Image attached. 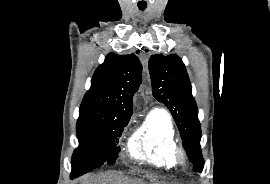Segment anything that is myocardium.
Segmentation results:
<instances>
[{"mask_svg":"<svg viewBox=\"0 0 270 184\" xmlns=\"http://www.w3.org/2000/svg\"><path fill=\"white\" fill-rule=\"evenodd\" d=\"M174 159H175L176 164H179V165L185 164L187 160V155L183 148L181 147L176 148L175 153H174Z\"/></svg>","mask_w":270,"mask_h":184,"instance_id":"1","label":"myocardium"}]
</instances>
